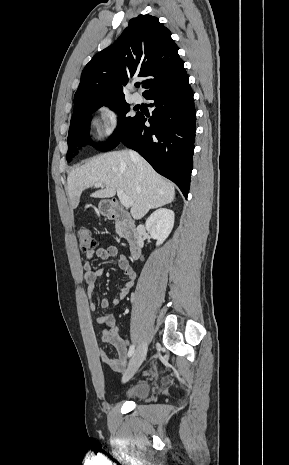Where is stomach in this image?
Here are the masks:
<instances>
[{
  "instance_id": "obj_1",
  "label": "stomach",
  "mask_w": 289,
  "mask_h": 465,
  "mask_svg": "<svg viewBox=\"0 0 289 465\" xmlns=\"http://www.w3.org/2000/svg\"><path fill=\"white\" fill-rule=\"evenodd\" d=\"M107 203L108 202L106 200L100 201L99 206H98L100 213L107 214L110 211Z\"/></svg>"
}]
</instances>
